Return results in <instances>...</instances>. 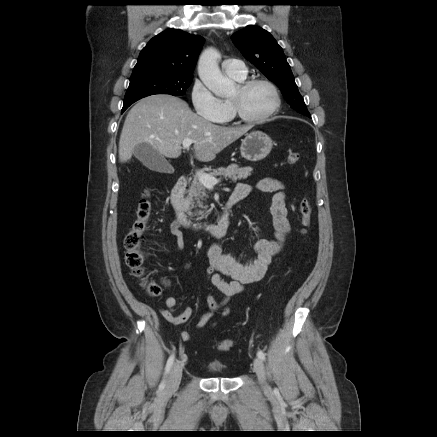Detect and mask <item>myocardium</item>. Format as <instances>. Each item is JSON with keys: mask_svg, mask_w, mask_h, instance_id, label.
<instances>
[{"mask_svg": "<svg viewBox=\"0 0 437 437\" xmlns=\"http://www.w3.org/2000/svg\"><path fill=\"white\" fill-rule=\"evenodd\" d=\"M258 84L266 85L271 89L273 96H274V103H273L272 107L270 108V110L267 113H265L264 115L259 116V117H250V116H247L242 111L239 103L236 100L229 99L232 115L234 116V118H236L237 120H239L243 123H247V124L264 123L267 120H269L279 110V108L281 106V96H280L279 90H278L277 86L272 81H270L268 79H264V78L247 79V80L240 82L238 87L241 91H246V90L250 89L251 87L258 85Z\"/></svg>", "mask_w": 437, "mask_h": 437, "instance_id": "obj_1", "label": "myocardium"}]
</instances>
